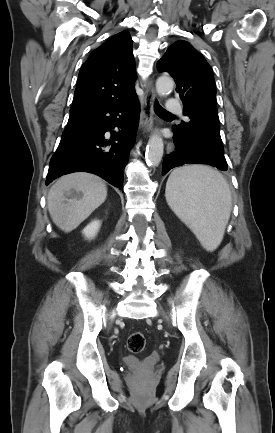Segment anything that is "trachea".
Returning <instances> with one entry per match:
<instances>
[{"mask_svg": "<svg viewBox=\"0 0 275 433\" xmlns=\"http://www.w3.org/2000/svg\"><path fill=\"white\" fill-rule=\"evenodd\" d=\"M155 110L159 114L173 116L172 114L168 113L162 106H160L158 102L155 103Z\"/></svg>", "mask_w": 275, "mask_h": 433, "instance_id": "1", "label": "trachea"}]
</instances>
